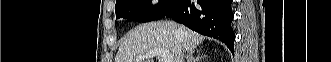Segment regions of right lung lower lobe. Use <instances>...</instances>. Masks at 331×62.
<instances>
[{
    "instance_id": "obj_1",
    "label": "right lung lower lobe",
    "mask_w": 331,
    "mask_h": 62,
    "mask_svg": "<svg viewBox=\"0 0 331 62\" xmlns=\"http://www.w3.org/2000/svg\"><path fill=\"white\" fill-rule=\"evenodd\" d=\"M232 0H180L164 17L224 42L234 53L235 34L231 28Z\"/></svg>"
}]
</instances>
